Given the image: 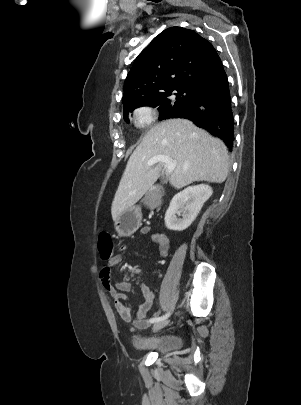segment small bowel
Wrapping results in <instances>:
<instances>
[{
  "label": "small bowel",
  "instance_id": "c3829d8e",
  "mask_svg": "<svg viewBox=\"0 0 301 405\" xmlns=\"http://www.w3.org/2000/svg\"><path fill=\"white\" fill-rule=\"evenodd\" d=\"M141 233L151 234L152 242L156 245L158 254L161 257H166L168 255L169 242L165 236L152 233V229L149 226L142 227ZM122 249L125 250L126 246H123ZM122 259V255H112L111 259L107 261L106 265L100 270L99 278L103 286L113 297L114 307L120 317L125 321H134L139 327H147L150 324L151 318H149L148 315L156 301V293L143 282H140L143 301L136 309L128 306L126 292L129 290V284L126 281L114 283L111 278V268L120 264Z\"/></svg>",
  "mask_w": 301,
  "mask_h": 405
}]
</instances>
